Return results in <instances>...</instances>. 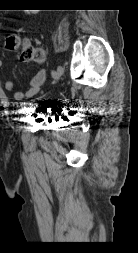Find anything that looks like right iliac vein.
I'll return each mask as SVG.
<instances>
[{
    "mask_svg": "<svg viewBox=\"0 0 138 253\" xmlns=\"http://www.w3.org/2000/svg\"><path fill=\"white\" fill-rule=\"evenodd\" d=\"M62 73H63V69L61 67H58L57 72H56L57 77L59 78L62 75Z\"/></svg>",
    "mask_w": 138,
    "mask_h": 253,
    "instance_id": "right-iliac-vein-1",
    "label": "right iliac vein"
}]
</instances>
